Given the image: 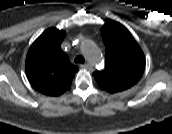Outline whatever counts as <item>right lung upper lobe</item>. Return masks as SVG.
I'll return each mask as SVG.
<instances>
[{
	"label": "right lung upper lobe",
	"mask_w": 172,
	"mask_h": 134,
	"mask_svg": "<svg viewBox=\"0 0 172 134\" xmlns=\"http://www.w3.org/2000/svg\"><path fill=\"white\" fill-rule=\"evenodd\" d=\"M66 33L49 28L31 45L25 69L29 82L39 92L59 96L69 90L78 67L61 50Z\"/></svg>",
	"instance_id": "1"
}]
</instances>
